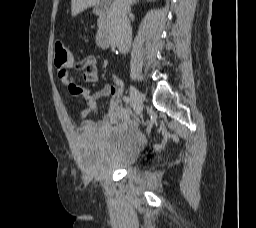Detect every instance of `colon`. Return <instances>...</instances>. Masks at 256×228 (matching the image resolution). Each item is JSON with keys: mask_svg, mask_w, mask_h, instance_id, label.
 Listing matches in <instances>:
<instances>
[{"mask_svg": "<svg viewBox=\"0 0 256 228\" xmlns=\"http://www.w3.org/2000/svg\"><path fill=\"white\" fill-rule=\"evenodd\" d=\"M67 47L62 42L55 44V65H64L70 58Z\"/></svg>", "mask_w": 256, "mask_h": 228, "instance_id": "colon-1", "label": "colon"}]
</instances>
